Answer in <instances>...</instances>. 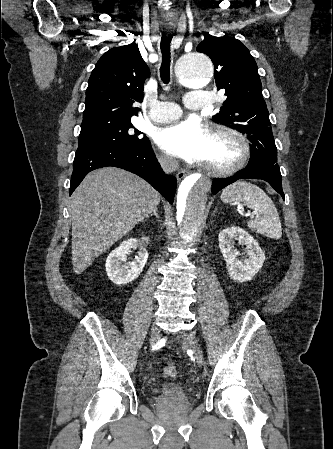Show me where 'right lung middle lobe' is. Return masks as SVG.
<instances>
[{
    "label": "right lung middle lobe",
    "mask_w": 333,
    "mask_h": 449,
    "mask_svg": "<svg viewBox=\"0 0 333 449\" xmlns=\"http://www.w3.org/2000/svg\"><path fill=\"white\" fill-rule=\"evenodd\" d=\"M141 134L130 120L81 126L78 148L115 146L140 149L149 141L147 137H141Z\"/></svg>",
    "instance_id": "right-lung-middle-lobe-1"
}]
</instances>
